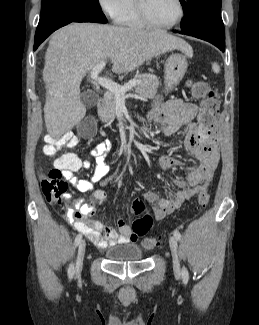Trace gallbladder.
Segmentation results:
<instances>
[{
    "label": "gallbladder",
    "instance_id": "1",
    "mask_svg": "<svg viewBox=\"0 0 259 325\" xmlns=\"http://www.w3.org/2000/svg\"><path fill=\"white\" fill-rule=\"evenodd\" d=\"M81 101L87 108H92L98 101V95L93 91H84L81 93ZM96 120L92 116H87L85 121H82L79 125V135L82 139H95Z\"/></svg>",
    "mask_w": 259,
    "mask_h": 325
}]
</instances>
